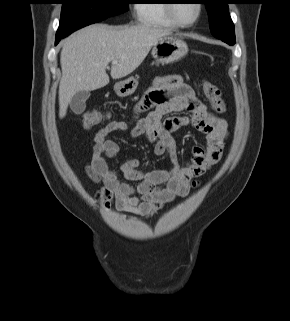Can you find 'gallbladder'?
<instances>
[{
  "label": "gallbladder",
  "instance_id": "1",
  "mask_svg": "<svg viewBox=\"0 0 290 321\" xmlns=\"http://www.w3.org/2000/svg\"><path fill=\"white\" fill-rule=\"evenodd\" d=\"M89 97L90 93L87 91H80L76 93L70 102L71 110L77 115L83 113L86 108V100Z\"/></svg>",
  "mask_w": 290,
  "mask_h": 321
}]
</instances>
